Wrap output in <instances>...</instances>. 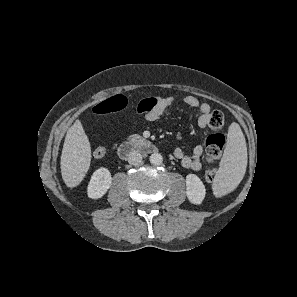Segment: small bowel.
<instances>
[{
	"mask_svg": "<svg viewBox=\"0 0 297 297\" xmlns=\"http://www.w3.org/2000/svg\"><path fill=\"white\" fill-rule=\"evenodd\" d=\"M180 104L197 109L198 125L200 128H206L211 108L207 103L200 101L195 96H186L181 101L174 97H165L145 112V118L148 121L158 120ZM174 155L180 160L184 168L199 171L202 167L201 156L203 155V147L201 145L196 146L191 155L185 154L181 148H176L174 150Z\"/></svg>",
	"mask_w": 297,
	"mask_h": 297,
	"instance_id": "small-bowel-1",
	"label": "small bowel"
}]
</instances>
